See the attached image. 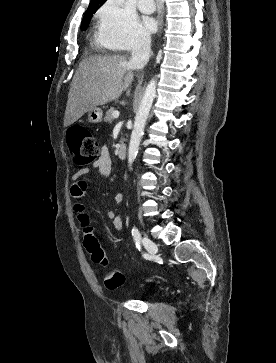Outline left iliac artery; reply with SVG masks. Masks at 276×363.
<instances>
[{
    "instance_id": "44dca946",
    "label": "left iliac artery",
    "mask_w": 276,
    "mask_h": 363,
    "mask_svg": "<svg viewBox=\"0 0 276 363\" xmlns=\"http://www.w3.org/2000/svg\"><path fill=\"white\" fill-rule=\"evenodd\" d=\"M132 236L134 238L135 244L137 246L138 249H140V241H141V236L140 233L138 231V229L136 227L132 228Z\"/></svg>"
}]
</instances>
